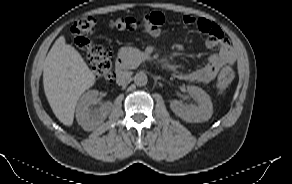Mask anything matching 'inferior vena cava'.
<instances>
[{
    "label": "inferior vena cava",
    "mask_w": 292,
    "mask_h": 184,
    "mask_svg": "<svg viewBox=\"0 0 292 184\" xmlns=\"http://www.w3.org/2000/svg\"><path fill=\"white\" fill-rule=\"evenodd\" d=\"M132 75V72L130 71H122V70H119L117 71L116 73V83L118 85H124L131 77Z\"/></svg>",
    "instance_id": "602c4592"
}]
</instances>
